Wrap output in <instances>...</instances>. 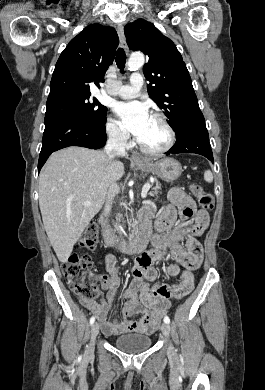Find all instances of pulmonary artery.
Returning a JSON list of instances; mask_svg holds the SVG:
<instances>
[{
	"instance_id": "pulmonary-artery-1",
	"label": "pulmonary artery",
	"mask_w": 265,
	"mask_h": 390,
	"mask_svg": "<svg viewBox=\"0 0 265 390\" xmlns=\"http://www.w3.org/2000/svg\"><path fill=\"white\" fill-rule=\"evenodd\" d=\"M142 85L143 76L139 73H134L130 78V84L115 86L108 92L124 99L133 98L137 95Z\"/></svg>"
}]
</instances>
